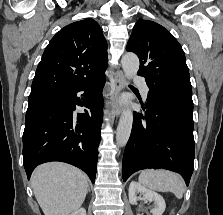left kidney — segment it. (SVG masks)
<instances>
[{"mask_svg":"<svg viewBox=\"0 0 223 215\" xmlns=\"http://www.w3.org/2000/svg\"><path fill=\"white\" fill-rule=\"evenodd\" d=\"M137 193H143V197L147 199V201H154V207L151 209L153 215H162L166 207L165 199H163L162 195H159L157 191L147 189L144 185H140L138 181H131L129 185L130 203H137ZM138 215H140V213H138Z\"/></svg>","mask_w":223,"mask_h":215,"instance_id":"left-kidney-1","label":"left kidney"}]
</instances>
